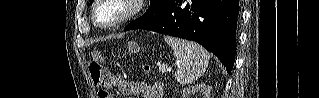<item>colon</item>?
Returning a JSON list of instances; mask_svg holds the SVG:
<instances>
[{
	"instance_id": "1",
	"label": "colon",
	"mask_w": 319,
	"mask_h": 98,
	"mask_svg": "<svg viewBox=\"0 0 319 98\" xmlns=\"http://www.w3.org/2000/svg\"><path fill=\"white\" fill-rule=\"evenodd\" d=\"M93 56L95 59L89 64V72L91 75V79L95 85L102 87L107 82L108 76L101 64V54L98 52H94ZM144 70L149 71V67L145 66ZM99 98H110V95L105 89H100Z\"/></svg>"
}]
</instances>
